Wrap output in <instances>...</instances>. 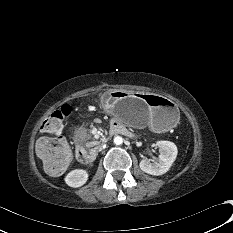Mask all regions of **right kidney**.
Instances as JSON below:
<instances>
[{
    "mask_svg": "<svg viewBox=\"0 0 233 233\" xmlns=\"http://www.w3.org/2000/svg\"><path fill=\"white\" fill-rule=\"evenodd\" d=\"M88 180V173L83 169H75L70 171L66 177L65 182L70 187H81Z\"/></svg>",
    "mask_w": 233,
    "mask_h": 233,
    "instance_id": "1",
    "label": "right kidney"
}]
</instances>
